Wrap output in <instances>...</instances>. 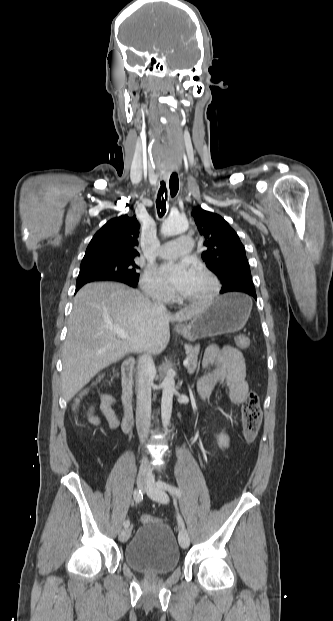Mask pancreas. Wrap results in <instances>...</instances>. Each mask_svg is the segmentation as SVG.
I'll return each instance as SVG.
<instances>
[{
  "mask_svg": "<svg viewBox=\"0 0 333 621\" xmlns=\"http://www.w3.org/2000/svg\"><path fill=\"white\" fill-rule=\"evenodd\" d=\"M186 355L189 359V364L187 365V369L189 372H194L197 368V360L198 354L200 350V345L191 346L185 345Z\"/></svg>",
  "mask_w": 333,
  "mask_h": 621,
  "instance_id": "pancreas-1",
  "label": "pancreas"
}]
</instances>
